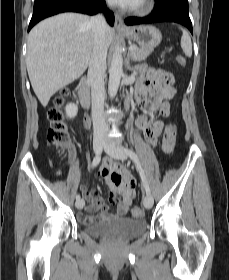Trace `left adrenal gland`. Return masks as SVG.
<instances>
[{"instance_id": "a2214340", "label": "left adrenal gland", "mask_w": 229, "mask_h": 280, "mask_svg": "<svg viewBox=\"0 0 229 280\" xmlns=\"http://www.w3.org/2000/svg\"><path fill=\"white\" fill-rule=\"evenodd\" d=\"M129 61H130V57H128V61H127V69L130 70V71H133V68L130 66L129 64Z\"/></svg>"}]
</instances>
